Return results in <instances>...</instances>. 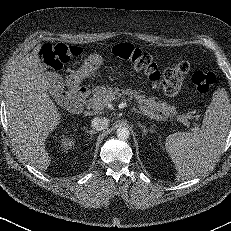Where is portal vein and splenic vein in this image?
I'll use <instances>...</instances> for the list:
<instances>
[{"label": "portal vein and splenic vein", "mask_w": 231, "mask_h": 231, "mask_svg": "<svg viewBox=\"0 0 231 231\" xmlns=\"http://www.w3.org/2000/svg\"><path fill=\"white\" fill-rule=\"evenodd\" d=\"M121 105H122L123 107H126V106H128L129 104H127L126 102H124V103H122ZM90 108H91V109H94V110H101V109H103V108L99 105V103L92 104V105L90 106ZM143 114H144V113H143ZM178 120L181 121V122H183V124L186 125L187 127H190V123L187 121V119H186L184 116H181ZM191 130H192V131H195V130H197V128H191Z\"/></svg>", "instance_id": "obj_1"}]
</instances>
